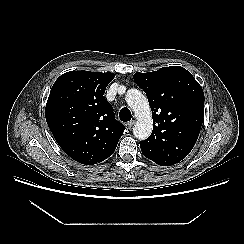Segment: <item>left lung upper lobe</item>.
<instances>
[{"instance_id":"5c2ea615","label":"left lung upper lobe","mask_w":244,"mask_h":244,"mask_svg":"<svg viewBox=\"0 0 244 244\" xmlns=\"http://www.w3.org/2000/svg\"><path fill=\"white\" fill-rule=\"evenodd\" d=\"M153 116L150 137L140 142L144 156L160 166L184 159L194 147L204 112V93L192 74L180 66L135 73Z\"/></svg>"}]
</instances>
